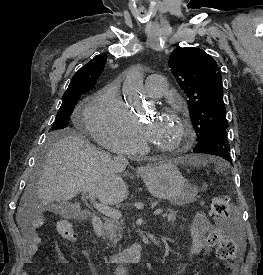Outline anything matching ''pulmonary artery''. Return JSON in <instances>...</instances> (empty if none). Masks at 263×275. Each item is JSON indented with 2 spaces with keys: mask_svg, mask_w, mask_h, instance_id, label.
Here are the masks:
<instances>
[{
  "mask_svg": "<svg viewBox=\"0 0 263 275\" xmlns=\"http://www.w3.org/2000/svg\"><path fill=\"white\" fill-rule=\"evenodd\" d=\"M145 89L151 98H160L167 91V83L163 76L158 74H152L147 77L145 83Z\"/></svg>",
  "mask_w": 263,
  "mask_h": 275,
  "instance_id": "e3ab8cb5",
  "label": "pulmonary artery"
}]
</instances>
